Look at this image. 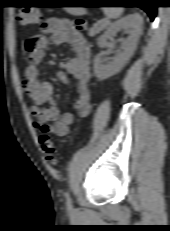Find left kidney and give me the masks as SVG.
I'll return each mask as SVG.
<instances>
[{
  "label": "left kidney",
  "instance_id": "left-kidney-1",
  "mask_svg": "<svg viewBox=\"0 0 170 231\" xmlns=\"http://www.w3.org/2000/svg\"><path fill=\"white\" fill-rule=\"evenodd\" d=\"M143 19L138 13L127 15L112 23L105 33L98 39V46L103 48L107 40L112 39L117 32L127 30L128 38L122 41V52L116 55L108 64H104L101 54L95 56L94 73L102 81L118 73L133 55L139 37L142 33Z\"/></svg>",
  "mask_w": 170,
  "mask_h": 231
}]
</instances>
